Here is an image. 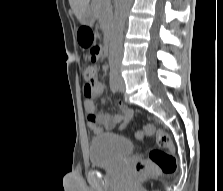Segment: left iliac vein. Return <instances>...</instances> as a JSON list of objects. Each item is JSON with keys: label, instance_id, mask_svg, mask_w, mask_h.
Listing matches in <instances>:
<instances>
[{"label": "left iliac vein", "instance_id": "left-iliac-vein-1", "mask_svg": "<svg viewBox=\"0 0 223 191\" xmlns=\"http://www.w3.org/2000/svg\"><path fill=\"white\" fill-rule=\"evenodd\" d=\"M118 90L120 92H124L125 91V83H124V79L122 76H118Z\"/></svg>", "mask_w": 223, "mask_h": 191}]
</instances>
